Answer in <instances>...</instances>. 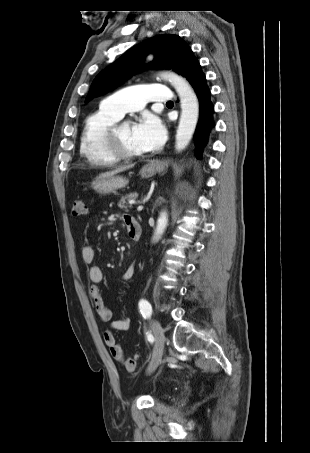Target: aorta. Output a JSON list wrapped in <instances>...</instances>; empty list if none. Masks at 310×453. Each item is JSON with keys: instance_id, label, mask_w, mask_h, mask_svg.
Instances as JSON below:
<instances>
[{"instance_id": "1", "label": "aorta", "mask_w": 310, "mask_h": 453, "mask_svg": "<svg viewBox=\"0 0 310 453\" xmlns=\"http://www.w3.org/2000/svg\"><path fill=\"white\" fill-rule=\"evenodd\" d=\"M161 77L171 83L178 93L181 103V116L176 133L175 148L178 152L189 144L196 128L199 115L197 96L189 83L174 72H163ZM168 218L165 212L160 214L154 233V239H159L167 226Z\"/></svg>"}]
</instances>
